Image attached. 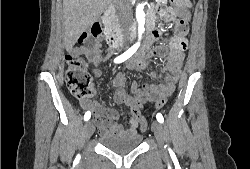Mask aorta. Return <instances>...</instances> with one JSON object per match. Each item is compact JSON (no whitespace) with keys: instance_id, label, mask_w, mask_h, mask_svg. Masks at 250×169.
<instances>
[{"instance_id":"762f6f07","label":"aorta","mask_w":250,"mask_h":169,"mask_svg":"<svg viewBox=\"0 0 250 169\" xmlns=\"http://www.w3.org/2000/svg\"><path fill=\"white\" fill-rule=\"evenodd\" d=\"M136 20L138 22V32L139 36L144 32V24H145V12L143 4H137L136 6Z\"/></svg>"}]
</instances>
